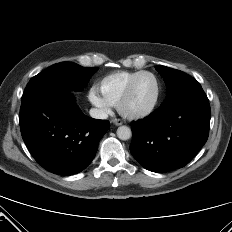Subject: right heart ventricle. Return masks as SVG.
I'll return each mask as SVG.
<instances>
[{"instance_id":"right-heart-ventricle-1","label":"right heart ventricle","mask_w":232,"mask_h":232,"mask_svg":"<svg viewBox=\"0 0 232 232\" xmlns=\"http://www.w3.org/2000/svg\"><path fill=\"white\" fill-rule=\"evenodd\" d=\"M117 71L104 76L98 83L102 97L111 105L117 106L130 81L139 73Z\"/></svg>"}]
</instances>
